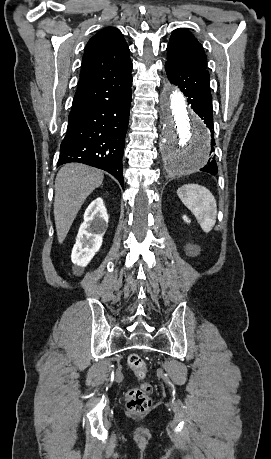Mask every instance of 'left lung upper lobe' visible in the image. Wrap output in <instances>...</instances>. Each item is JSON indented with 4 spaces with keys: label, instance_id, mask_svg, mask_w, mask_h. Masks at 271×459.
Masks as SVG:
<instances>
[{
    "label": "left lung upper lobe",
    "instance_id": "obj_1",
    "mask_svg": "<svg viewBox=\"0 0 271 459\" xmlns=\"http://www.w3.org/2000/svg\"><path fill=\"white\" fill-rule=\"evenodd\" d=\"M191 69L207 70V57L202 45L187 30L173 31L167 46V61Z\"/></svg>",
    "mask_w": 271,
    "mask_h": 459
}]
</instances>
